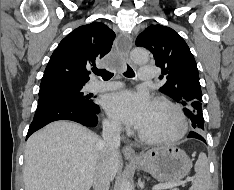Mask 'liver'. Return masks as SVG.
<instances>
[{
	"instance_id": "1",
	"label": "liver",
	"mask_w": 234,
	"mask_h": 190,
	"mask_svg": "<svg viewBox=\"0 0 234 190\" xmlns=\"http://www.w3.org/2000/svg\"><path fill=\"white\" fill-rule=\"evenodd\" d=\"M100 138L86 127L56 121L29 137L25 148V190H90L99 163ZM119 153L109 159L111 180Z\"/></svg>"
}]
</instances>
